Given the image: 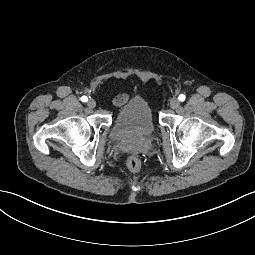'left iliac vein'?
<instances>
[{"instance_id":"1","label":"left iliac vein","mask_w":255,"mask_h":255,"mask_svg":"<svg viewBox=\"0 0 255 255\" xmlns=\"http://www.w3.org/2000/svg\"><path fill=\"white\" fill-rule=\"evenodd\" d=\"M180 106V102L177 98H172L170 101V107L172 109H177Z\"/></svg>"}]
</instances>
